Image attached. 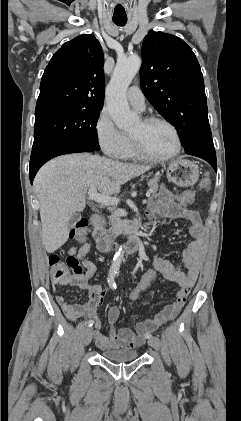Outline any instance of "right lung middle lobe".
<instances>
[{"instance_id":"obj_1","label":"right lung middle lobe","mask_w":241,"mask_h":421,"mask_svg":"<svg viewBox=\"0 0 241 421\" xmlns=\"http://www.w3.org/2000/svg\"><path fill=\"white\" fill-rule=\"evenodd\" d=\"M101 109L68 106L36 109L32 151L66 143L84 144L100 150L96 124Z\"/></svg>"}]
</instances>
